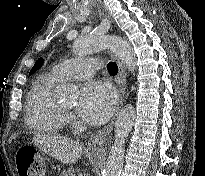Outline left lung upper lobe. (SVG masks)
<instances>
[{"label": "left lung upper lobe", "mask_w": 205, "mask_h": 176, "mask_svg": "<svg viewBox=\"0 0 205 176\" xmlns=\"http://www.w3.org/2000/svg\"><path fill=\"white\" fill-rule=\"evenodd\" d=\"M43 58H39L38 60H37V62L35 63V65L33 66V68L31 69V71H30V73H33V72H35L38 68H40L41 67V65L43 64Z\"/></svg>", "instance_id": "left-lung-upper-lobe-1"}]
</instances>
